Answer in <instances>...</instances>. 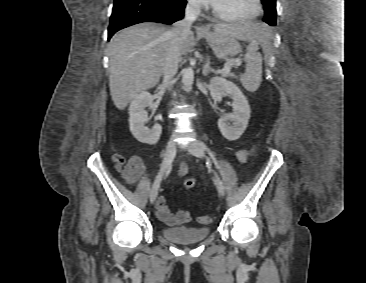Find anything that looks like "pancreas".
Here are the masks:
<instances>
[{
    "label": "pancreas",
    "instance_id": "1",
    "mask_svg": "<svg viewBox=\"0 0 366 283\" xmlns=\"http://www.w3.org/2000/svg\"><path fill=\"white\" fill-rule=\"evenodd\" d=\"M227 76L234 77V74L228 73Z\"/></svg>",
    "mask_w": 366,
    "mask_h": 283
}]
</instances>
